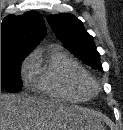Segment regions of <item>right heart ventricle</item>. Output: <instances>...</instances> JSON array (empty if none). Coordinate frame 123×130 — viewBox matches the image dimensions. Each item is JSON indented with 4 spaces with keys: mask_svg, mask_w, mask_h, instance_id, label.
I'll return each instance as SVG.
<instances>
[{
    "mask_svg": "<svg viewBox=\"0 0 123 130\" xmlns=\"http://www.w3.org/2000/svg\"><path fill=\"white\" fill-rule=\"evenodd\" d=\"M29 79L41 93L63 102L82 103L91 95L88 72L60 46L31 56Z\"/></svg>",
    "mask_w": 123,
    "mask_h": 130,
    "instance_id": "1",
    "label": "right heart ventricle"
}]
</instances>
